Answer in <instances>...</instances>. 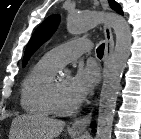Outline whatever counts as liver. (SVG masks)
<instances>
[{"instance_id": "1", "label": "liver", "mask_w": 141, "mask_h": 139, "mask_svg": "<svg viewBox=\"0 0 141 139\" xmlns=\"http://www.w3.org/2000/svg\"><path fill=\"white\" fill-rule=\"evenodd\" d=\"M65 122L43 114H23L12 120L11 139H55Z\"/></svg>"}]
</instances>
